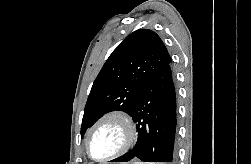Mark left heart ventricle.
I'll list each match as a JSON object with an SVG mask.
<instances>
[{
	"mask_svg": "<svg viewBox=\"0 0 251 164\" xmlns=\"http://www.w3.org/2000/svg\"><path fill=\"white\" fill-rule=\"evenodd\" d=\"M124 140V131L115 121H107L99 126L90 139L89 148L95 158H103L116 152Z\"/></svg>",
	"mask_w": 251,
	"mask_h": 164,
	"instance_id": "1",
	"label": "left heart ventricle"
}]
</instances>
